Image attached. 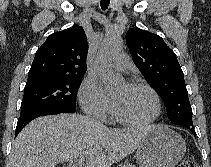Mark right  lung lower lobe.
I'll use <instances>...</instances> for the list:
<instances>
[{
  "label": "right lung lower lobe",
  "instance_id": "98d812e1",
  "mask_svg": "<svg viewBox=\"0 0 211 167\" xmlns=\"http://www.w3.org/2000/svg\"><path fill=\"white\" fill-rule=\"evenodd\" d=\"M76 112L75 108H63V107H48V108H41L26 112L21 114L16 127L15 136L19 134V132L33 119L45 116V115H53V114H60V113H74Z\"/></svg>",
  "mask_w": 211,
  "mask_h": 167
}]
</instances>
